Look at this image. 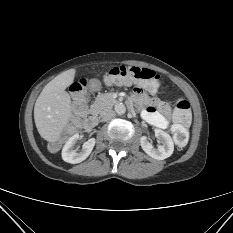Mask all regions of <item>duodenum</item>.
Returning a JSON list of instances; mask_svg holds the SVG:
<instances>
[{
    "label": "duodenum",
    "mask_w": 233,
    "mask_h": 233,
    "mask_svg": "<svg viewBox=\"0 0 233 233\" xmlns=\"http://www.w3.org/2000/svg\"><path fill=\"white\" fill-rule=\"evenodd\" d=\"M97 122V114L95 111L91 110L87 113L85 119V126L87 128H92Z\"/></svg>",
    "instance_id": "obj_1"
}]
</instances>
